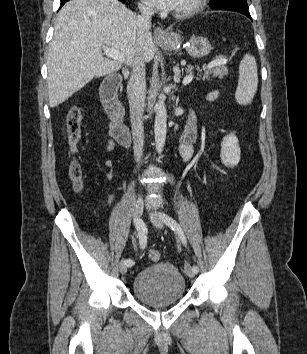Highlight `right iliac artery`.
<instances>
[{"label": "right iliac artery", "mask_w": 307, "mask_h": 354, "mask_svg": "<svg viewBox=\"0 0 307 354\" xmlns=\"http://www.w3.org/2000/svg\"><path fill=\"white\" fill-rule=\"evenodd\" d=\"M135 226L138 232L140 247L145 248L147 243V229L141 220L137 221ZM124 262L128 267H131L135 264V262L132 259H127Z\"/></svg>", "instance_id": "obj_1"}]
</instances>
